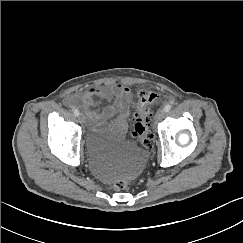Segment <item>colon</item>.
<instances>
[{"label":"colon","mask_w":243,"mask_h":243,"mask_svg":"<svg viewBox=\"0 0 243 243\" xmlns=\"http://www.w3.org/2000/svg\"><path fill=\"white\" fill-rule=\"evenodd\" d=\"M136 93L135 107L132 109L133 135L142 146V151L149 154L154 149L151 144L153 135L150 131V120L153 107L161 101V95L156 91L147 90L144 83L136 86ZM128 184L126 178H119L113 183V187L116 190H124Z\"/></svg>","instance_id":"obj_1"}]
</instances>
